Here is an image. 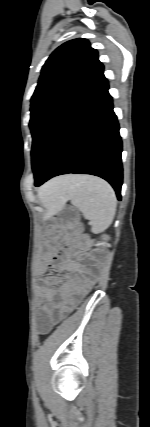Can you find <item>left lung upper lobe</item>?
<instances>
[{"mask_svg": "<svg viewBox=\"0 0 150 427\" xmlns=\"http://www.w3.org/2000/svg\"><path fill=\"white\" fill-rule=\"evenodd\" d=\"M102 73L98 53L87 39L70 40L58 47L42 67L31 98L32 135Z\"/></svg>", "mask_w": 150, "mask_h": 427, "instance_id": "5c2ea615", "label": "left lung upper lobe"}]
</instances>
